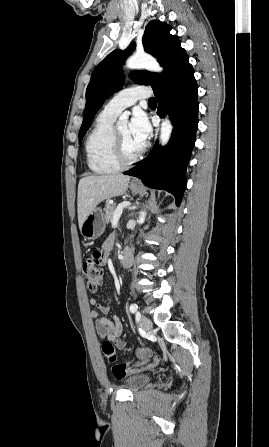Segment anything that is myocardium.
<instances>
[{"label":"myocardium","instance_id":"obj_1","mask_svg":"<svg viewBox=\"0 0 269 447\" xmlns=\"http://www.w3.org/2000/svg\"><path fill=\"white\" fill-rule=\"evenodd\" d=\"M111 143L113 158L120 167H127L138 162L146 152L147 148V145L144 144L143 149L136 156L128 158L116 130H113Z\"/></svg>","mask_w":269,"mask_h":447}]
</instances>
